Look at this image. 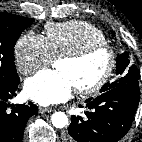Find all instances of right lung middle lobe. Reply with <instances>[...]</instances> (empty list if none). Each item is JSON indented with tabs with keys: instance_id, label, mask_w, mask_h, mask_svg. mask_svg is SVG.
Listing matches in <instances>:
<instances>
[{
	"instance_id": "obj_1",
	"label": "right lung middle lobe",
	"mask_w": 142,
	"mask_h": 142,
	"mask_svg": "<svg viewBox=\"0 0 142 142\" xmlns=\"http://www.w3.org/2000/svg\"><path fill=\"white\" fill-rule=\"evenodd\" d=\"M33 23L6 12L0 13V87L19 80L14 63V46L21 32Z\"/></svg>"
}]
</instances>
